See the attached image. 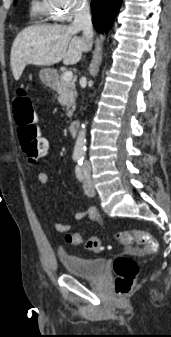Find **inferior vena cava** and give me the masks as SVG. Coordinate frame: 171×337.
Instances as JSON below:
<instances>
[{
	"label": "inferior vena cava",
	"instance_id": "1",
	"mask_svg": "<svg viewBox=\"0 0 171 337\" xmlns=\"http://www.w3.org/2000/svg\"><path fill=\"white\" fill-rule=\"evenodd\" d=\"M72 26L83 31V38L88 45L91 44L93 37V27L89 5L85 1L79 0L75 5L74 21ZM88 48L85 50L87 51Z\"/></svg>",
	"mask_w": 171,
	"mask_h": 337
}]
</instances>
